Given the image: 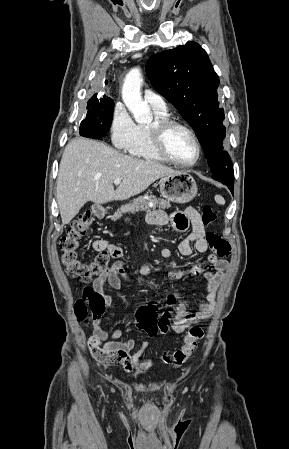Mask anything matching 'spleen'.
I'll use <instances>...</instances> for the list:
<instances>
[{
	"label": "spleen",
	"mask_w": 289,
	"mask_h": 449,
	"mask_svg": "<svg viewBox=\"0 0 289 449\" xmlns=\"http://www.w3.org/2000/svg\"><path fill=\"white\" fill-rule=\"evenodd\" d=\"M216 202L218 203V204H220V205H224L225 204V200H224V198H222L221 196H219V197H216Z\"/></svg>",
	"instance_id": "3e777b00"
}]
</instances>
